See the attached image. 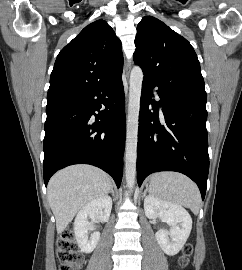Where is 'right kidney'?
<instances>
[{
    "instance_id": "obj_1",
    "label": "right kidney",
    "mask_w": 242,
    "mask_h": 270,
    "mask_svg": "<svg viewBox=\"0 0 242 270\" xmlns=\"http://www.w3.org/2000/svg\"><path fill=\"white\" fill-rule=\"evenodd\" d=\"M111 209L112 199L105 195L90 201L78 212L74 221V233L78 246L83 252L90 253L96 247L100 233L94 231L90 238L88 234L95 230L93 226L95 220L108 221ZM88 217L92 219V222H88Z\"/></svg>"
}]
</instances>
